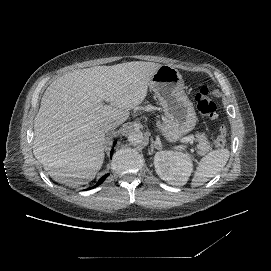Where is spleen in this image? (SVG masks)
<instances>
[{"label":"spleen","mask_w":271,"mask_h":271,"mask_svg":"<svg viewBox=\"0 0 271 271\" xmlns=\"http://www.w3.org/2000/svg\"><path fill=\"white\" fill-rule=\"evenodd\" d=\"M230 156L228 149L213 150L201 159L198 163L194 177L192 179V186L197 187L203 185L214 177L226 165Z\"/></svg>","instance_id":"obj_1"}]
</instances>
